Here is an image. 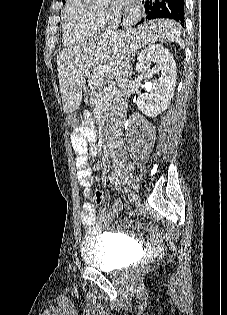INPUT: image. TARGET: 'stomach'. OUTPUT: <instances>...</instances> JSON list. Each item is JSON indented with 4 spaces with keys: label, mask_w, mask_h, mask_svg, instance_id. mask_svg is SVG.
<instances>
[{
    "label": "stomach",
    "mask_w": 227,
    "mask_h": 315,
    "mask_svg": "<svg viewBox=\"0 0 227 315\" xmlns=\"http://www.w3.org/2000/svg\"><path fill=\"white\" fill-rule=\"evenodd\" d=\"M99 73L98 71H88L87 75H84L83 80L81 81V86L83 91H92L93 85L92 82L94 78H98ZM69 120L71 123H73V116H69Z\"/></svg>",
    "instance_id": "1"
}]
</instances>
